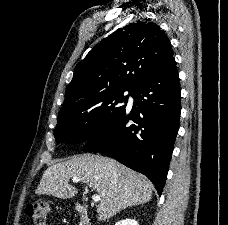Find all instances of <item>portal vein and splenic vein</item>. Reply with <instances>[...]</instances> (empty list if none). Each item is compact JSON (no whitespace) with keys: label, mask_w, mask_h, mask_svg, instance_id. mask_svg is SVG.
<instances>
[{"label":"portal vein and splenic vein","mask_w":228,"mask_h":225,"mask_svg":"<svg viewBox=\"0 0 228 225\" xmlns=\"http://www.w3.org/2000/svg\"><path fill=\"white\" fill-rule=\"evenodd\" d=\"M72 181L73 183H80L81 179H79V177H72ZM86 193L93 194V187L89 186L88 188H86ZM92 201H94V203H98V201H101V197H98V195H92Z\"/></svg>","instance_id":"obj_1"}]
</instances>
